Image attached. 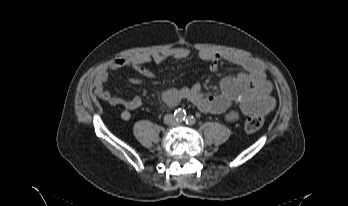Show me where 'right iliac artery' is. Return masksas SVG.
<instances>
[{
	"instance_id": "1",
	"label": "right iliac artery",
	"mask_w": 348,
	"mask_h": 206,
	"mask_svg": "<svg viewBox=\"0 0 348 206\" xmlns=\"http://www.w3.org/2000/svg\"><path fill=\"white\" fill-rule=\"evenodd\" d=\"M174 115L178 121H183L186 118V112L182 109L176 110Z\"/></svg>"
}]
</instances>
